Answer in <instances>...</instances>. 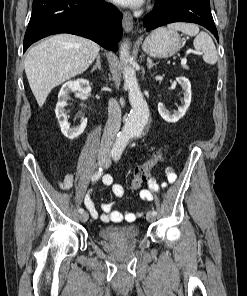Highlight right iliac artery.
<instances>
[{
    "label": "right iliac artery",
    "mask_w": 247,
    "mask_h": 296,
    "mask_svg": "<svg viewBox=\"0 0 247 296\" xmlns=\"http://www.w3.org/2000/svg\"><path fill=\"white\" fill-rule=\"evenodd\" d=\"M114 154H115V152H112V153L110 154V156H114ZM102 174H103V168L100 167V168L94 173V175L92 176V181H97V180L102 176ZM78 211H79V213H83V212H84V210H83L82 208H80Z\"/></svg>",
    "instance_id": "right-iliac-artery-1"
}]
</instances>
